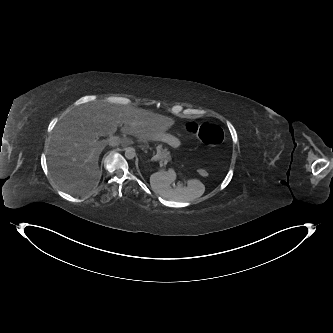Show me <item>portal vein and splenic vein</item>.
I'll list each match as a JSON object with an SVG mask.
<instances>
[{
    "mask_svg": "<svg viewBox=\"0 0 333 333\" xmlns=\"http://www.w3.org/2000/svg\"><path fill=\"white\" fill-rule=\"evenodd\" d=\"M118 139H119V137L110 136L109 141H115V140H118ZM154 158L155 157H152V160H154ZM159 164L162 167V166H165L167 164V162H160Z\"/></svg>",
    "mask_w": 333,
    "mask_h": 333,
    "instance_id": "18ae733b",
    "label": "portal vein and splenic vein"
}]
</instances>
